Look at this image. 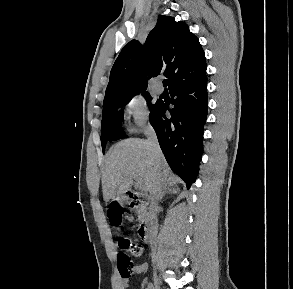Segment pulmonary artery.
Wrapping results in <instances>:
<instances>
[{"instance_id":"e3ab8cb5","label":"pulmonary artery","mask_w":293,"mask_h":289,"mask_svg":"<svg viewBox=\"0 0 293 289\" xmlns=\"http://www.w3.org/2000/svg\"><path fill=\"white\" fill-rule=\"evenodd\" d=\"M154 88H155L156 93H158V94H161L163 92V86L159 81L155 82Z\"/></svg>"}]
</instances>
